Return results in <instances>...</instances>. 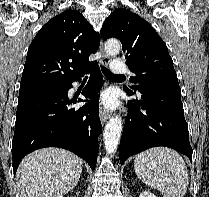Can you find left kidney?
Segmentation results:
<instances>
[{
	"label": "left kidney",
	"instance_id": "left-kidney-1",
	"mask_svg": "<svg viewBox=\"0 0 209 197\" xmlns=\"http://www.w3.org/2000/svg\"><path fill=\"white\" fill-rule=\"evenodd\" d=\"M139 197H157L156 195H154L153 193L151 192H147V191H144L142 192Z\"/></svg>",
	"mask_w": 209,
	"mask_h": 197
}]
</instances>
